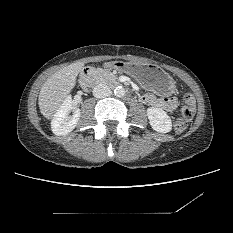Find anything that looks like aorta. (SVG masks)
Returning <instances> with one entry per match:
<instances>
[{
  "instance_id": "762f6f07",
  "label": "aorta",
  "mask_w": 233,
  "mask_h": 233,
  "mask_svg": "<svg viewBox=\"0 0 233 233\" xmlns=\"http://www.w3.org/2000/svg\"><path fill=\"white\" fill-rule=\"evenodd\" d=\"M114 94L117 97H123L125 95V89L123 87H121V86H118V87L115 88Z\"/></svg>"
}]
</instances>
